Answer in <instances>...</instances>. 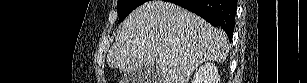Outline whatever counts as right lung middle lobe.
I'll return each instance as SVG.
<instances>
[{"instance_id": "obj_1", "label": "right lung middle lobe", "mask_w": 307, "mask_h": 83, "mask_svg": "<svg viewBox=\"0 0 307 83\" xmlns=\"http://www.w3.org/2000/svg\"><path fill=\"white\" fill-rule=\"evenodd\" d=\"M146 0H118L119 22L123 21L135 8Z\"/></svg>"}]
</instances>
